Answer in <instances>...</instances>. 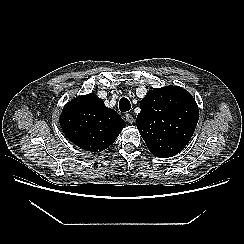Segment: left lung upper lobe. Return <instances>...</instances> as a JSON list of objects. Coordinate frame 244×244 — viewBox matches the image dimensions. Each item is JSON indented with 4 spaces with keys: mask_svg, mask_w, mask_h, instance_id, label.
Listing matches in <instances>:
<instances>
[{
    "mask_svg": "<svg viewBox=\"0 0 244 244\" xmlns=\"http://www.w3.org/2000/svg\"><path fill=\"white\" fill-rule=\"evenodd\" d=\"M199 119L192 95L179 86L150 90L141 100L137 128L156 157L180 153L191 139Z\"/></svg>",
    "mask_w": 244,
    "mask_h": 244,
    "instance_id": "obj_1",
    "label": "left lung upper lobe"
}]
</instances>
